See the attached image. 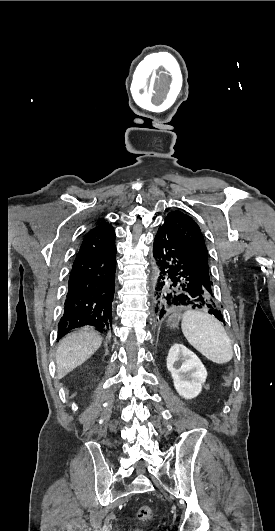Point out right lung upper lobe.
I'll return each instance as SVG.
<instances>
[{"mask_svg": "<svg viewBox=\"0 0 275 531\" xmlns=\"http://www.w3.org/2000/svg\"><path fill=\"white\" fill-rule=\"evenodd\" d=\"M99 226H105V227H112L111 224L109 222H107L106 220H102V221H99L95 226V227H99Z\"/></svg>", "mask_w": 275, "mask_h": 531, "instance_id": "cb5924a9", "label": "right lung upper lobe"}]
</instances>
